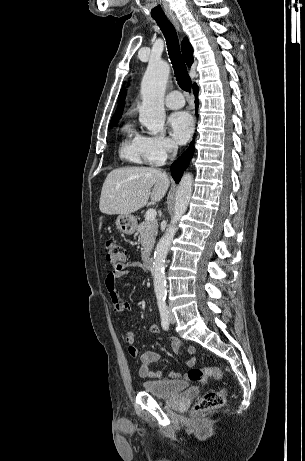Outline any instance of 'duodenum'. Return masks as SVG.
<instances>
[{
    "label": "duodenum",
    "instance_id": "obj_1",
    "mask_svg": "<svg viewBox=\"0 0 305 461\" xmlns=\"http://www.w3.org/2000/svg\"><path fill=\"white\" fill-rule=\"evenodd\" d=\"M154 265V259L151 255H146L144 258V266L147 270H150L153 268Z\"/></svg>",
    "mask_w": 305,
    "mask_h": 461
}]
</instances>
